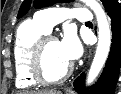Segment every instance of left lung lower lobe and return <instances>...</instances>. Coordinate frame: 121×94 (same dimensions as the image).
I'll list each match as a JSON object with an SVG mask.
<instances>
[{
	"mask_svg": "<svg viewBox=\"0 0 121 94\" xmlns=\"http://www.w3.org/2000/svg\"><path fill=\"white\" fill-rule=\"evenodd\" d=\"M111 18L112 43L110 53L104 70L90 90L85 89V74L82 73L74 81V89L79 94H114L115 85L119 76L121 65V7L116 5L108 12Z\"/></svg>",
	"mask_w": 121,
	"mask_h": 94,
	"instance_id": "0a47b994",
	"label": "left lung lower lobe"
}]
</instances>
